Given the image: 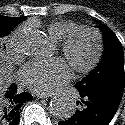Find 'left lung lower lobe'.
<instances>
[{"instance_id": "left-lung-lower-lobe-1", "label": "left lung lower lobe", "mask_w": 125, "mask_h": 125, "mask_svg": "<svg viewBox=\"0 0 125 125\" xmlns=\"http://www.w3.org/2000/svg\"><path fill=\"white\" fill-rule=\"evenodd\" d=\"M80 95L79 108L71 118L59 125H108L121 102L124 85H113L92 91H84L75 85Z\"/></svg>"}]
</instances>
